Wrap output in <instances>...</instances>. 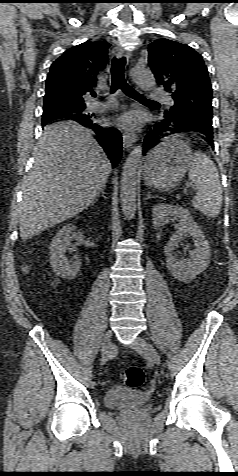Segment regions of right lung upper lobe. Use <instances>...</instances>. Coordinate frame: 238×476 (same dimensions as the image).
Masks as SVG:
<instances>
[{
  "label": "right lung upper lobe",
  "mask_w": 238,
  "mask_h": 476,
  "mask_svg": "<svg viewBox=\"0 0 238 476\" xmlns=\"http://www.w3.org/2000/svg\"><path fill=\"white\" fill-rule=\"evenodd\" d=\"M109 47L106 41H86L66 50L51 65L44 102L85 105L83 96L96 85Z\"/></svg>",
  "instance_id": "cb5924a9"
}]
</instances>
